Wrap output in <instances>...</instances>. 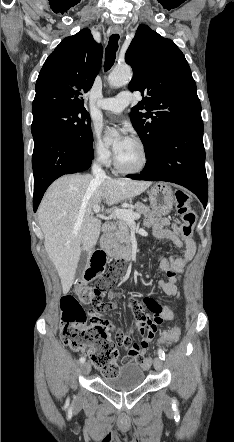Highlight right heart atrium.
I'll list each match as a JSON object with an SVG mask.
<instances>
[{
	"label": "right heart atrium",
	"mask_w": 234,
	"mask_h": 442,
	"mask_svg": "<svg viewBox=\"0 0 234 442\" xmlns=\"http://www.w3.org/2000/svg\"><path fill=\"white\" fill-rule=\"evenodd\" d=\"M93 159L103 165L108 166L112 161V153L109 147L102 141L96 132L92 133L90 143Z\"/></svg>",
	"instance_id": "1"
}]
</instances>
